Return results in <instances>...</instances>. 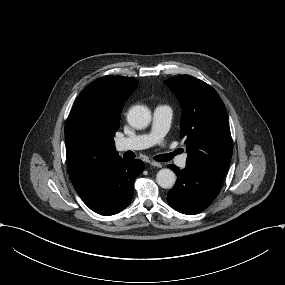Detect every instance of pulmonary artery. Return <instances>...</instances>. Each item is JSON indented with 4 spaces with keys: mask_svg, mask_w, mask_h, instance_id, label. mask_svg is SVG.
Masks as SVG:
<instances>
[{
    "mask_svg": "<svg viewBox=\"0 0 285 285\" xmlns=\"http://www.w3.org/2000/svg\"><path fill=\"white\" fill-rule=\"evenodd\" d=\"M174 118V113L168 105H157L154 110V118L151 132L148 134H139L130 137H125L116 141L117 151H125L132 148L141 147H156L162 141L165 132L170 128L171 120ZM170 159L177 157L175 150L168 152ZM188 154L185 153L179 156L176 164L185 168L187 165Z\"/></svg>",
    "mask_w": 285,
    "mask_h": 285,
    "instance_id": "obj_1",
    "label": "pulmonary artery"
}]
</instances>
